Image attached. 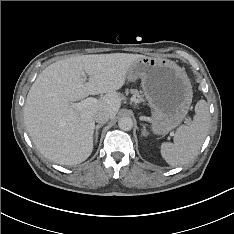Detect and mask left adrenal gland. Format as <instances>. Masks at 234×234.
I'll use <instances>...</instances> for the list:
<instances>
[{
  "mask_svg": "<svg viewBox=\"0 0 234 234\" xmlns=\"http://www.w3.org/2000/svg\"><path fill=\"white\" fill-rule=\"evenodd\" d=\"M142 135L143 136H147L148 135V132L146 131L145 125H143Z\"/></svg>",
  "mask_w": 234,
  "mask_h": 234,
  "instance_id": "left-adrenal-gland-1",
  "label": "left adrenal gland"
}]
</instances>
